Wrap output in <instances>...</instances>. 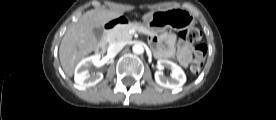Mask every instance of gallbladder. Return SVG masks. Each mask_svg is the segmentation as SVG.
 Masks as SVG:
<instances>
[{"mask_svg":"<svg viewBox=\"0 0 276 120\" xmlns=\"http://www.w3.org/2000/svg\"><path fill=\"white\" fill-rule=\"evenodd\" d=\"M93 33L98 40L102 39L104 34L103 29L101 27L94 28Z\"/></svg>","mask_w":276,"mask_h":120,"instance_id":"obj_1","label":"gallbladder"}]
</instances>
